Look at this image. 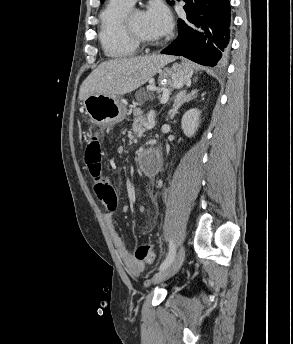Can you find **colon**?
I'll list each match as a JSON object with an SVG mask.
<instances>
[{"label":"colon","mask_w":293,"mask_h":344,"mask_svg":"<svg viewBox=\"0 0 293 344\" xmlns=\"http://www.w3.org/2000/svg\"><path fill=\"white\" fill-rule=\"evenodd\" d=\"M102 159V147L97 136L91 138L88 150L87 160L89 166L95 171L99 169V163ZM94 176V191L98 199L104 204L106 209L113 211L118 206L117 192L108 178L102 177L98 172H93ZM136 260L152 264L155 261V252L151 244H142L135 250Z\"/></svg>","instance_id":"colon-1"}]
</instances>
